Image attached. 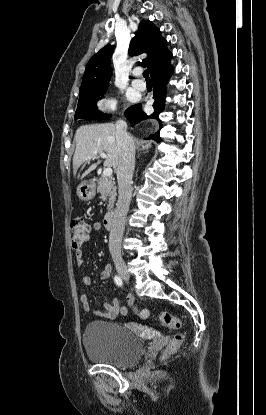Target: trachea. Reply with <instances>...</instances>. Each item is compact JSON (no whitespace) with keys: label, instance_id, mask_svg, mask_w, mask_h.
<instances>
[{"label":"trachea","instance_id":"1","mask_svg":"<svg viewBox=\"0 0 266 415\" xmlns=\"http://www.w3.org/2000/svg\"><path fill=\"white\" fill-rule=\"evenodd\" d=\"M143 77L145 78V80L150 81V78H149V71H148V70H145V71L143 72Z\"/></svg>","mask_w":266,"mask_h":415}]
</instances>
